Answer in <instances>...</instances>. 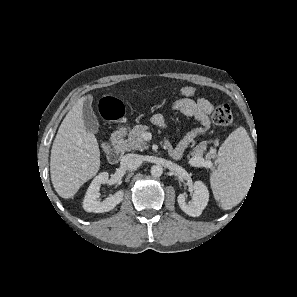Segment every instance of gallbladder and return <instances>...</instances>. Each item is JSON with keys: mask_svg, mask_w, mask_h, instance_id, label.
<instances>
[{"mask_svg": "<svg viewBox=\"0 0 297 297\" xmlns=\"http://www.w3.org/2000/svg\"><path fill=\"white\" fill-rule=\"evenodd\" d=\"M83 120L86 126V129L89 132L97 133L99 131V121L92 109V98L89 97L86 99L83 105Z\"/></svg>", "mask_w": 297, "mask_h": 297, "instance_id": "gallbladder-1", "label": "gallbladder"}]
</instances>
